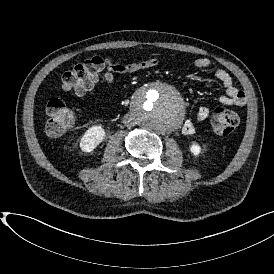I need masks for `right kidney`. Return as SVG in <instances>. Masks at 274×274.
I'll return each mask as SVG.
<instances>
[{
  "label": "right kidney",
  "instance_id": "obj_1",
  "mask_svg": "<svg viewBox=\"0 0 274 274\" xmlns=\"http://www.w3.org/2000/svg\"><path fill=\"white\" fill-rule=\"evenodd\" d=\"M106 136V130L101 124L92 125L81 135L79 148L84 153H91L103 143Z\"/></svg>",
  "mask_w": 274,
  "mask_h": 274
}]
</instances>
